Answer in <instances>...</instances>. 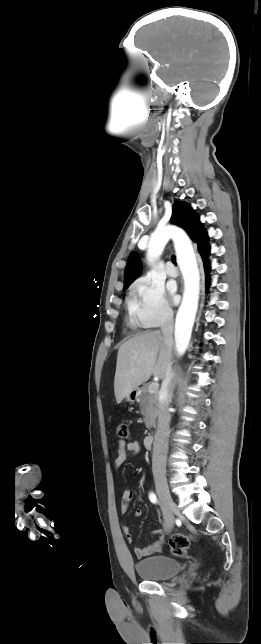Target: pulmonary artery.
Segmentation results:
<instances>
[{"label":"pulmonary artery","mask_w":261,"mask_h":644,"mask_svg":"<svg viewBox=\"0 0 261 644\" xmlns=\"http://www.w3.org/2000/svg\"><path fill=\"white\" fill-rule=\"evenodd\" d=\"M166 273H167L170 277H176V276L178 275V271H177L176 267H175L172 263H169V264L167 265V267H166Z\"/></svg>","instance_id":"pulmonary-artery-1"}]
</instances>
